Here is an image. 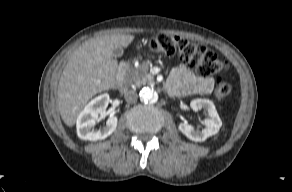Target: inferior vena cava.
<instances>
[{
  "label": "inferior vena cava",
  "instance_id": "obj_1",
  "mask_svg": "<svg viewBox=\"0 0 292 192\" xmlns=\"http://www.w3.org/2000/svg\"><path fill=\"white\" fill-rule=\"evenodd\" d=\"M125 100L129 103H135L137 101L138 95L135 90L129 89L124 94Z\"/></svg>",
  "mask_w": 292,
  "mask_h": 192
}]
</instances>
